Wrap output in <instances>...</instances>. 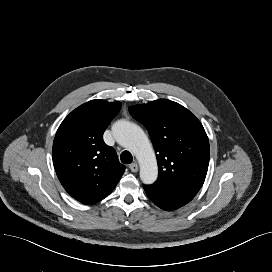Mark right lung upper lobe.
Here are the masks:
<instances>
[{"label":"right lung upper lobe","instance_id":"cb5924a9","mask_svg":"<svg viewBox=\"0 0 272 272\" xmlns=\"http://www.w3.org/2000/svg\"><path fill=\"white\" fill-rule=\"evenodd\" d=\"M121 108L120 102L91 100L61 123L53 142L56 174L65 190L83 204L107 197L125 171L103 133Z\"/></svg>","mask_w":272,"mask_h":272}]
</instances>
